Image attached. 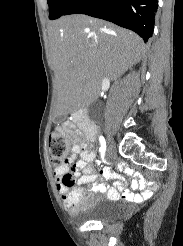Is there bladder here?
Here are the masks:
<instances>
[{"label":"bladder","instance_id":"obj_1","mask_svg":"<svg viewBox=\"0 0 183 246\" xmlns=\"http://www.w3.org/2000/svg\"><path fill=\"white\" fill-rule=\"evenodd\" d=\"M122 212L119 204L108 201L96 199L90 206L83 218L88 221H109L118 217Z\"/></svg>","mask_w":183,"mask_h":246}]
</instances>
